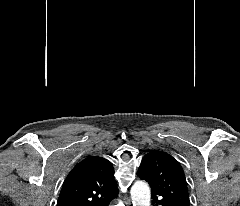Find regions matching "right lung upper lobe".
Listing matches in <instances>:
<instances>
[{
    "mask_svg": "<svg viewBox=\"0 0 240 206\" xmlns=\"http://www.w3.org/2000/svg\"><path fill=\"white\" fill-rule=\"evenodd\" d=\"M117 193L112 163L99 156H90L70 171L57 206H98Z\"/></svg>",
    "mask_w": 240,
    "mask_h": 206,
    "instance_id": "1",
    "label": "right lung upper lobe"
}]
</instances>
